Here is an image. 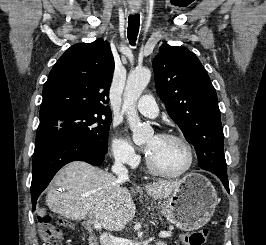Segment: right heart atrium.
I'll list each match as a JSON object with an SVG mask.
<instances>
[{
	"instance_id": "obj_1",
	"label": "right heart atrium",
	"mask_w": 266,
	"mask_h": 245,
	"mask_svg": "<svg viewBox=\"0 0 266 245\" xmlns=\"http://www.w3.org/2000/svg\"><path fill=\"white\" fill-rule=\"evenodd\" d=\"M110 152L117 162L127 166L136 167L140 162V157L130 142L115 132L111 134Z\"/></svg>"
}]
</instances>
